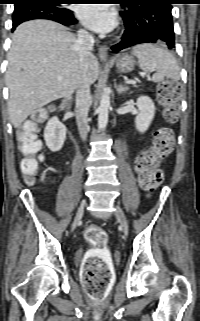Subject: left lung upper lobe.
I'll use <instances>...</instances> for the list:
<instances>
[{
  "instance_id": "obj_1",
  "label": "left lung upper lobe",
  "mask_w": 200,
  "mask_h": 321,
  "mask_svg": "<svg viewBox=\"0 0 200 321\" xmlns=\"http://www.w3.org/2000/svg\"><path fill=\"white\" fill-rule=\"evenodd\" d=\"M138 1H140V0H121V4H122L123 7H126L127 4H129V6H130V5H132V4H134V3L138 2ZM168 1L173 3V0H168Z\"/></svg>"
}]
</instances>
